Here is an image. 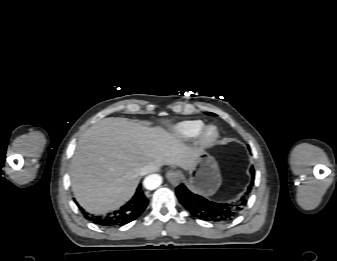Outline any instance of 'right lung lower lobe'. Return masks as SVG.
<instances>
[{
    "label": "right lung lower lobe",
    "instance_id": "obj_1",
    "mask_svg": "<svg viewBox=\"0 0 337 261\" xmlns=\"http://www.w3.org/2000/svg\"><path fill=\"white\" fill-rule=\"evenodd\" d=\"M147 204L148 200L144 196L141 185H139L133 198L118 211L106 217L92 216L87 213H84V215L87 219L98 225L107 227L122 226L136 219L144 211ZM80 209L82 210L81 207Z\"/></svg>",
    "mask_w": 337,
    "mask_h": 261
}]
</instances>
